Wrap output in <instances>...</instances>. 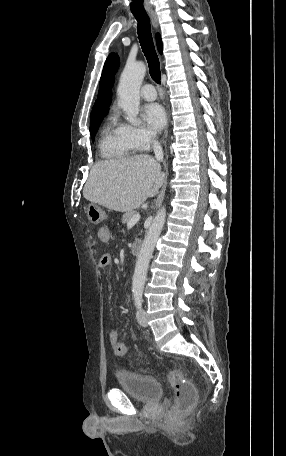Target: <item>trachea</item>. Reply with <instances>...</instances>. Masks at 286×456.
I'll return each mask as SVG.
<instances>
[{
	"label": "trachea",
	"mask_w": 286,
	"mask_h": 456,
	"mask_svg": "<svg viewBox=\"0 0 286 456\" xmlns=\"http://www.w3.org/2000/svg\"><path fill=\"white\" fill-rule=\"evenodd\" d=\"M133 15L138 22V39L148 62L150 76L156 83H160V62L153 43L150 18L146 12L133 13Z\"/></svg>",
	"instance_id": "obj_1"
}]
</instances>
